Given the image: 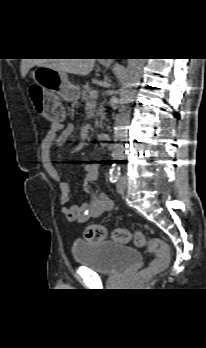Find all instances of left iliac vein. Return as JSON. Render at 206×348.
<instances>
[{
	"mask_svg": "<svg viewBox=\"0 0 206 348\" xmlns=\"http://www.w3.org/2000/svg\"><path fill=\"white\" fill-rule=\"evenodd\" d=\"M126 191V178H121L117 183V192L123 194Z\"/></svg>",
	"mask_w": 206,
	"mask_h": 348,
	"instance_id": "4c4485c4",
	"label": "left iliac vein"
}]
</instances>
